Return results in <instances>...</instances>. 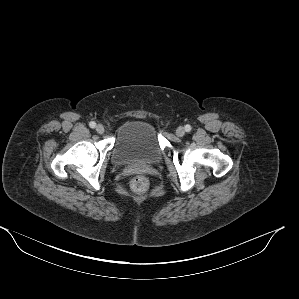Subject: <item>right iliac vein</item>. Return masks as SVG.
I'll use <instances>...</instances> for the list:
<instances>
[{
  "label": "right iliac vein",
  "instance_id": "right-iliac-vein-1",
  "mask_svg": "<svg viewBox=\"0 0 299 299\" xmlns=\"http://www.w3.org/2000/svg\"><path fill=\"white\" fill-rule=\"evenodd\" d=\"M104 126L102 125V124H98L97 126H96V131H97V133H99V134H102V133H104Z\"/></svg>",
  "mask_w": 299,
  "mask_h": 299
}]
</instances>
